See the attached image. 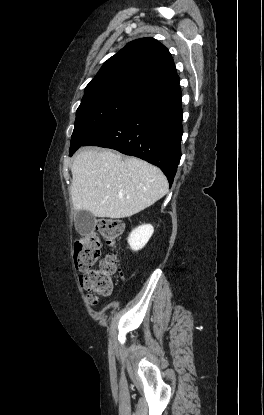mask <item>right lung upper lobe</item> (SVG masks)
<instances>
[{
	"mask_svg": "<svg viewBox=\"0 0 264 415\" xmlns=\"http://www.w3.org/2000/svg\"><path fill=\"white\" fill-rule=\"evenodd\" d=\"M177 85L179 76L167 48L153 38H141L103 64L84 96L124 92L144 99Z\"/></svg>",
	"mask_w": 264,
	"mask_h": 415,
	"instance_id": "cb5924a9",
	"label": "right lung upper lobe"
}]
</instances>
